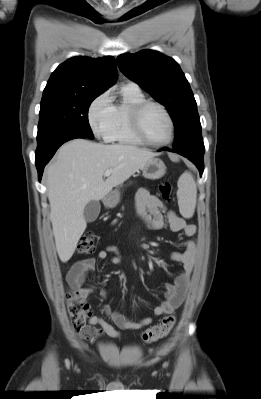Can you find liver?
<instances>
[{
	"instance_id": "liver-1",
	"label": "liver",
	"mask_w": 261,
	"mask_h": 399,
	"mask_svg": "<svg viewBox=\"0 0 261 399\" xmlns=\"http://www.w3.org/2000/svg\"><path fill=\"white\" fill-rule=\"evenodd\" d=\"M154 156L131 145H104L85 139L60 147L45 175L53 235L62 262L72 257L86 229L85 206L105 198ZM107 170L112 173L103 180Z\"/></svg>"
}]
</instances>
